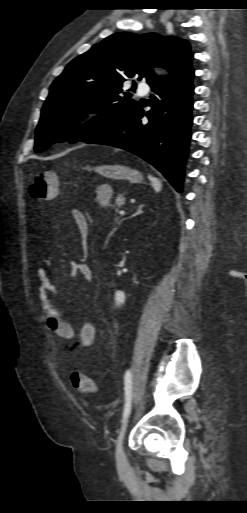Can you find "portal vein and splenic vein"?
Listing matches in <instances>:
<instances>
[{
	"label": "portal vein and splenic vein",
	"mask_w": 247,
	"mask_h": 513,
	"mask_svg": "<svg viewBox=\"0 0 247 513\" xmlns=\"http://www.w3.org/2000/svg\"><path fill=\"white\" fill-rule=\"evenodd\" d=\"M120 214H121V215H124V214H125V211H121V212H120Z\"/></svg>",
	"instance_id": "1"
}]
</instances>
